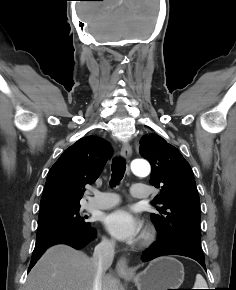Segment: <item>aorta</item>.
<instances>
[{
    "label": "aorta",
    "instance_id": "aorta-1",
    "mask_svg": "<svg viewBox=\"0 0 236 290\" xmlns=\"http://www.w3.org/2000/svg\"><path fill=\"white\" fill-rule=\"evenodd\" d=\"M131 169L135 175L140 177H145L150 173V165L144 160H134Z\"/></svg>",
    "mask_w": 236,
    "mask_h": 290
}]
</instances>
